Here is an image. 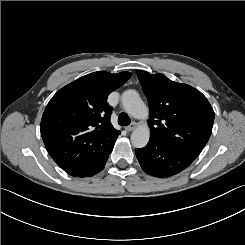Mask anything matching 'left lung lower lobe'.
<instances>
[{"mask_svg": "<svg viewBox=\"0 0 245 245\" xmlns=\"http://www.w3.org/2000/svg\"><path fill=\"white\" fill-rule=\"evenodd\" d=\"M141 168L155 177H170L186 169L195 158L170 145L150 139L147 146L136 149Z\"/></svg>", "mask_w": 245, "mask_h": 245, "instance_id": "1", "label": "left lung lower lobe"}]
</instances>
